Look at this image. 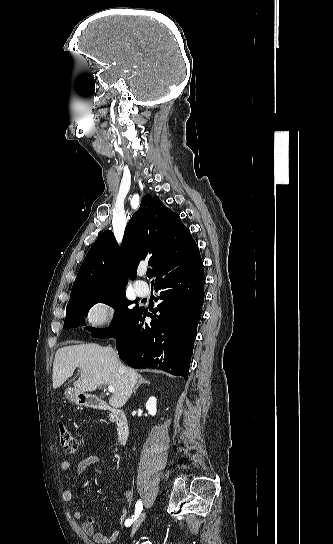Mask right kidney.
<instances>
[{
  "mask_svg": "<svg viewBox=\"0 0 333 544\" xmlns=\"http://www.w3.org/2000/svg\"><path fill=\"white\" fill-rule=\"evenodd\" d=\"M156 404H157V400L155 397H150L148 399V401L146 402V410L148 411V413L151 415V416H155L156 415V412H157V407H156Z\"/></svg>",
  "mask_w": 333,
  "mask_h": 544,
  "instance_id": "right-kidney-1",
  "label": "right kidney"
}]
</instances>
